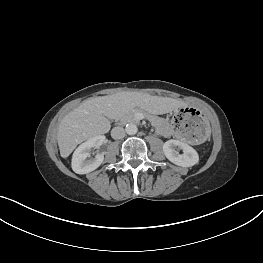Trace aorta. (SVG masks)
I'll return each instance as SVG.
<instances>
[{"label": "aorta", "mask_w": 263, "mask_h": 263, "mask_svg": "<svg viewBox=\"0 0 263 263\" xmlns=\"http://www.w3.org/2000/svg\"><path fill=\"white\" fill-rule=\"evenodd\" d=\"M125 131L128 135H135L138 131V128H137L136 124L129 123L126 125Z\"/></svg>", "instance_id": "obj_1"}]
</instances>
